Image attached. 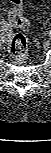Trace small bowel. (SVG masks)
<instances>
[{"label":"small bowel","instance_id":"small-bowel-1","mask_svg":"<svg viewBox=\"0 0 51 153\" xmlns=\"http://www.w3.org/2000/svg\"><path fill=\"white\" fill-rule=\"evenodd\" d=\"M2 25H3L4 27H7V24H6L4 21H2Z\"/></svg>","mask_w":51,"mask_h":153}]
</instances>
